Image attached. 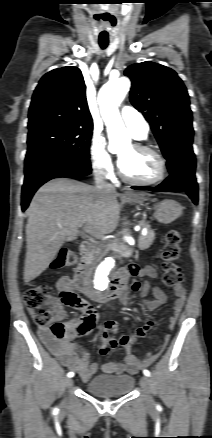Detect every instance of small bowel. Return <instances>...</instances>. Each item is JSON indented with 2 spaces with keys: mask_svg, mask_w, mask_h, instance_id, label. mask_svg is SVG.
Listing matches in <instances>:
<instances>
[{
  "mask_svg": "<svg viewBox=\"0 0 212 438\" xmlns=\"http://www.w3.org/2000/svg\"><path fill=\"white\" fill-rule=\"evenodd\" d=\"M135 276L140 278L149 277L151 279H157L158 272L153 266L139 268L136 265L131 264L126 266L118 275L124 285L128 277ZM56 287L59 295L62 296L66 291H73V282L69 277L62 276L57 281ZM132 289L140 297H144L149 293L153 294V300L139 304L145 310H155L167 302L166 293L160 287L154 286L148 281L143 284L134 283ZM173 290L176 299L173 305V315L169 320L168 328L170 331L174 329L176 320L178 319L186 300V289L183 285H176ZM70 307H73L80 312L81 317L79 319L62 322L65 320L67 314L63 306L59 304H56L55 306L54 315L56 320L61 321L64 324L69 335H71L75 328L80 325H84L87 328L86 333L92 332L98 319V314L95 308L81 298L78 299L77 303ZM153 326L154 322L152 320H147L142 327L136 330L134 336L123 335L116 337L115 333L117 331L118 323L113 320L107 321L104 324L100 353L106 355L110 350H113L120 345L125 349L126 357L124 360L106 361L101 365L97 363L90 364L89 354L83 351L80 346L70 342L68 337L61 340L57 339L47 328H40L38 332L43 342L61 360L63 365L68 369L77 372L80 378L86 382L90 380L92 376L96 375L99 370L107 374H121L124 372L136 374L142 368L147 367L155 357L147 359L137 358L132 352V344L135 338L145 337ZM169 340L170 335H166L163 342L158 346L157 351H161Z\"/></svg>",
  "mask_w": 212,
  "mask_h": 438,
  "instance_id": "small-bowel-1",
  "label": "small bowel"
}]
</instances>
